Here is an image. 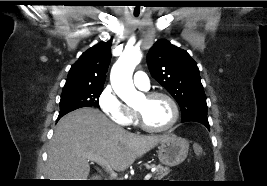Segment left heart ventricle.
I'll use <instances>...</instances> for the list:
<instances>
[{
	"instance_id": "obj_1",
	"label": "left heart ventricle",
	"mask_w": 267,
	"mask_h": 186,
	"mask_svg": "<svg viewBox=\"0 0 267 186\" xmlns=\"http://www.w3.org/2000/svg\"><path fill=\"white\" fill-rule=\"evenodd\" d=\"M150 127L160 128L167 125L172 118V108L167 99L156 97L153 99L142 98L136 107Z\"/></svg>"
}]
</instances>
